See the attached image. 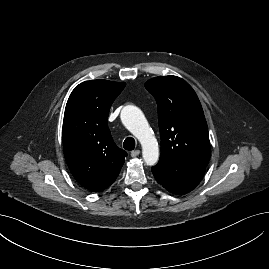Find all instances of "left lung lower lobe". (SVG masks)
I'll return each mask as SVG.
<instances>
[{
  "instance_id": "obj_1",
  "label": "left lung lower lobe",
  "mask_w": 269,
  "mask_h": 269,
  "mask_svg": "<svg viewBox=\"0 0 269 269\" xmlns=\"http://www.w3.org/2000/svg\"><path fill=\"white\" fill-rule=\"evenodd\" d=\"M156 181L173 194L182 195L192 191L201 181L205 167L188 162L160 158L152 167Z\"/></svg>"
}]
</instances>
